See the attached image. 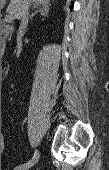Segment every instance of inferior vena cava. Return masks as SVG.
Listing matches in <instances>:
<instances>
[{
  "label": "inferior vena cava",
  "mask_w": 109,
  "mask_h": 170,
  "mask_svg": "<svg viewBox=\"0 0 109 170\" xmlns=\"http://www.w3.org/2000/svg\"><path fill=\"white\" fill-rule=\"evenodd\" d=\"M30 5H31V0H24L22 14H21L20 27H19V31L17 33V51H18V53L21 52V47H22L21 39H22L24 30L26 29L27 24H28V16H29L28 10H29Z\"/></svg>",
  "instance_id": "obj_1"
}]
</instances>
